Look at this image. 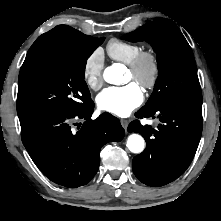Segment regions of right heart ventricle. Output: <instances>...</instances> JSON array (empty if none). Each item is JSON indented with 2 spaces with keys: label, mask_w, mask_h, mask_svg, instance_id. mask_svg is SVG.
<instances>
[{
  "label": "right heart ventricle",
  "mask_w": 221,
  "mask_h": 221,
  "mask_svg": "<svg viewBox=\"0 0 221 221\" xmlns=\"http://www.w3.org/2000/svg\"><path fill=\"white\" fill-rule=\"evenodd\" d=\"M106 50L113 60L128 65L141 51V46L120 39H111L106 45Z\"/></svg>",
  "instance_id": "obj_1"
}]
</instances>
